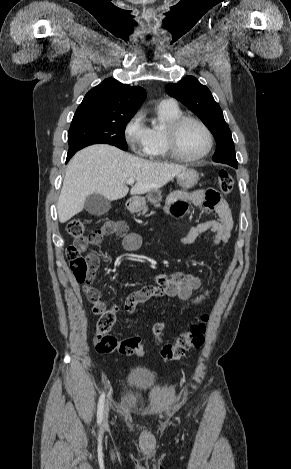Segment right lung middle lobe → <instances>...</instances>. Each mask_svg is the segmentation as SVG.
Returning a JSON list of instances; mask_svg holds the SVG:
<instances>
[{"label": "right lung middle lobe", "instance_id": "1", "mask_svg": "<svg viewBox=\"0 0 291 469\" xmlns=\"http://www.w3.org/2000/svg\"><path fill=\"white\" fill-rule=\"evenodd\" d=\"M132 117L75 114L68 132L69 152L97 143L127 150L124 131Z\"/></svg>", "mask_w": 291, "mask_h": 469}]
</instances>
